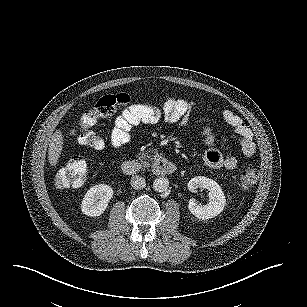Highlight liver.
<instances>
[{"mask_svg": "<svg viewBox=\"0 0 307 307\" xmlns=\"http://www.w3.org/2000/svg\"><path fill=\"white\" fill-rule=\"evenodd\" d=\"M61 142V134L56 132L49 144V160L51 163H55L58 160L61 151Z\"/></svg>", "mask_w": 307, "mask_h": 307, "instance_id": "1", "label": "liver"}]
</instances>
